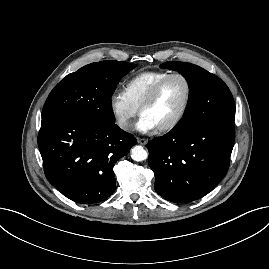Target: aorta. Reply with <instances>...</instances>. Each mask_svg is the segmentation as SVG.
I'll list each match as a JSON object with an SVG mask.
<instances>
[{
  "label": "aorta",
  "instance_id": "1",
  "mask_svg": "<svg viewBox=\"0 0 269 269\" xmlns=\"http://www.w3.org/2000/svg\"><path fill=\"white\" fill-rule=\"evenodd\" d=\"M131 158L135 161H143L148 158V153L142 146L137 145L131 149Z\"/></svg>",
  "mask_w": 269,
  "mask_h": 269
}]
</instances>
